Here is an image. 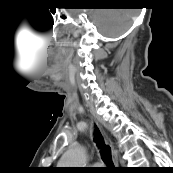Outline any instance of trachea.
Returning a JSON list of instances; mask_svg holds the SVG:
<instances>
[{
    "label": "trachea",
    "instance_id": "obj_1",
    "mask_svg": "<svg viewBox=\"0 0 173 173\" xmlns=\"http://www.w3.org/2000/svg\"><path fill=\"white\" fill-rule=\"evenodd\" d=\"M94 141L97 144L98 148L100 149L101 158L103 162L107 165L106 168H114L111 156V148L109 145L105 144L104 138L97 127L95 128L94 131Z\"/></svg>",
    "mask_w": 173,
    "mask_h": 173
}]
</instances>
